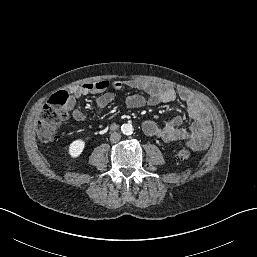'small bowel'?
<instances>
[{
  "mask_svg": "<svg viewBox=\"0 0 257 257\" xmlns=\"http://www.w3.org/2000/svg\"><path fill=\"white\" fill-rule=\"evenodd\" d=\"M129 89L140 90L145 93L132 94L125 98V105L128 108H141L144 106H155L160 103H168L179 97L186 105L192 123L182 126L181 116H175L167 123L160 125L153 120H146L143 123V131L150 137L159 138L165 142L185 141L194 148L196 145L206 146L212 134L210 119L207 111L198 99L187 92H177L174 88L148 80H129L125 83L120 81L109 82L101 80L70 87L69 111L75 121L82 122L86 115L76 107V101L82 96L98 94L95 100V108L103 109L115 100V92L108 91L111 87L114 91L120 90L123 86Z\"/></svg>",
  "mask_w": 257,
  "mask_h": 257,
  "instance_id": "obj_1",
  "label": "small bowel"
}]
</instances>
